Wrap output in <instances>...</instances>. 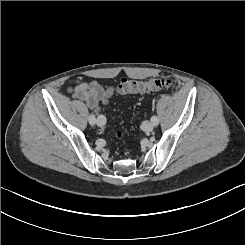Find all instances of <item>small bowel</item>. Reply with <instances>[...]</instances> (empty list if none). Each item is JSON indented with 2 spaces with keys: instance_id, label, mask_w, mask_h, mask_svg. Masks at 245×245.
Instances as JSON below:
<instances>
[{
  "instance_id": "1",
  "label": "small bowel",
  "mask_w": 245,
  "mask_h": 245,
  "mask_svg": "<svg viewBox=\"0 0 245 245\" xmlns=\"http://www.w3.org/2000/svg\"><path fill=\"white\" fill-rule=\"evenodd\" d=\"M72 95L85 102L95 112L101 110L102 105L109 102L114 94L113 87H103L97 81H79L71 88Z\"/></svg>"
}]
</instances>
